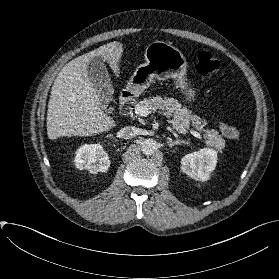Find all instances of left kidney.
Returning <instances> with one entry per match:
<instances>
[{
	"label": "left kidney",
	"instance_id": "left-kidney-1",
	"mask_svg": "<svg viewBox=\"0 0 279 279\" xmlns=\"http://www.w3.org/2000/svg\"><path fill=\"white\" fill-rule=\"evenodd\" d=\"M217 163V151L203 148L185 155L181 159V170L189 177L198 181H207Z\"/></svg>",
	"mask_w": 279,
	"mask_h": 279
}]
</instances>
